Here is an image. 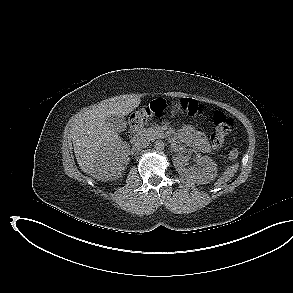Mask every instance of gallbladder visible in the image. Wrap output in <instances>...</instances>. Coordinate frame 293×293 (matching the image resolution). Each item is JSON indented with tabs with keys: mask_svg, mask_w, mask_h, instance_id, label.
<instances>
[{
	"mask_svg": "<svg viewBox=\"0 0 293 293\" xmlns=\"http://www.w3.org/2000/svg\"><path fill=\"white\" fill-rule=\"evenodd\" d=\"M106 124L110 129L118 133L123 132L127 127V122L124 116H118V115L108 116L106 118Z\"/></svg>",
	"mask_w": 293,
	"mask_h": 293,
	"instance_id": "1",
	"label": "gallbladder"
}]
</instances>
